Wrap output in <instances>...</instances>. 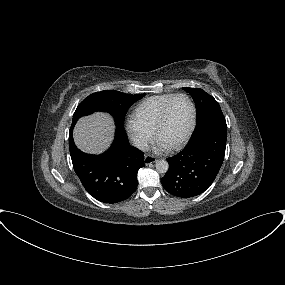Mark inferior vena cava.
I'll list each match as a JSON object with an SVG mask.
<instances>
[{
    "label": "inferior vena cava",
    "mask_w": 285,
    "mask_h": 285,
    "mask_svg": "<svg viewBox=\"0 0 285 285\" xmlns=\"http://www.w3.org/2000/svg\"><path fill=\"white\" fill-rule=\"evenodd\" d=\"M133 145L142 151L149 150L148 142L143 138H134Z\"/></svg>",
    "instance_id": "602c4592"
}]
</instances>
